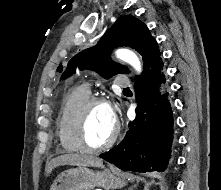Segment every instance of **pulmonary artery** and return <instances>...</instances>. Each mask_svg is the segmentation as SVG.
Returning <instances> with one entry per match:
<instances>
[{
    "instance_id": "pulmonary-artery-1",
    "label": "pulmonary artery",
    "mask_w": 221,
    "mask_h": 190,
    "mask_svg": "<svg viewBox=\"0 0 221 190\" xmlns=\"http://www.w3.org/2000/svg\"><path fill=\"white\" fill-rule=\"evenodd\" d=\"M115 84H116V86L122 87V88H126V87H129L131 85L130 80L125 75L117 76L116 79H115ZM86 88L89 90L88 87H86Z\"/></svg>"
}]
</instances>
